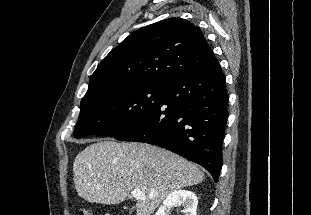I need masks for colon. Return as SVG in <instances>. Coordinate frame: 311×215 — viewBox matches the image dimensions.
<instances>
[{"instance_id":"colon-1","label":"colon","mask_w":311,"mask_h":215,"mask_svg":"<svg viewBox=\"0 0 311 215\" xmlns=\"http://www.w3.org/2000/svg\"><path fill=\"white\" fill-rule=\"evenodd\" d=\"M79 215H94V213L87 208L81 209Z\"/></svg>"}]
</instances>
